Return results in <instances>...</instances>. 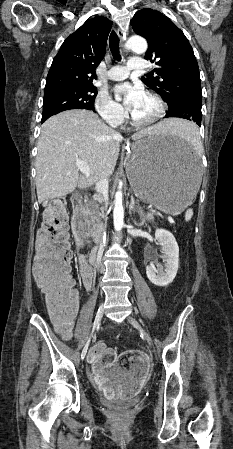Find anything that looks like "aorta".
<instances>
[{"mask_svg":"<svg viewBox=\"0 0 233 449\" xmlns=\"http://www.w3.org/2000/svg\"><path fill=\"white\" fill-rule=\"evenodd\" d=\"M126 49L132 50L137 54H143L147 50V42L145 39L139 36H133L129 38L125 45ZM116 99H119V96H115ZM113 219H114V228L116 231H121L124 225V209H123V198L122 192L118 191L115 194L114 200V209H113Z\"/></svg>","mask_w":233,"mask_h":449,"instance_id":"obj_1","label":"aorta"}]
</instances>
